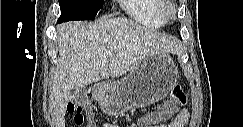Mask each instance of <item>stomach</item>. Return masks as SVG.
<instances>
[{"mask_svg":"<svg viewBox=\"0 0 243 127\" xmlns=\"http://www.w3.org/2000/svg\"><path fill=\"white\" fill-rule=\"evenodd\" d=\"M177 73L167 53L155 52L138 62L124 80L97 84L94 94L104 113L120 116L165 98L177 81Z\"/></svg>","mask_w":243,"mask_h":127,"instance_id":"1","label":"stomach"}]
</instances>
